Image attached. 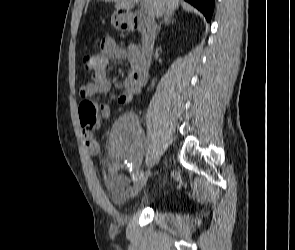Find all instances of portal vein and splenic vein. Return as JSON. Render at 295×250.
Listing matches in <instances>:
<instances>
[{"instance_id":"portal-vein-and-splenic-vein-1","label":"portal vein and splenic vein","mask_w":295,"mask_h":250,"mask_svg":"<svg viewBox=\"0 0 295 250\" xmlns=\"http://www.w3.org/2000/svg\"><path fill=\"white\" fill-rule=\"evenodd\" d=\"M141 4H142V7H143L144 12H145L146 14L151 15V14L153 13L152 8H151L150 5H148V4L145 3V2H142Z\"/></svg>"}]
</instances>
